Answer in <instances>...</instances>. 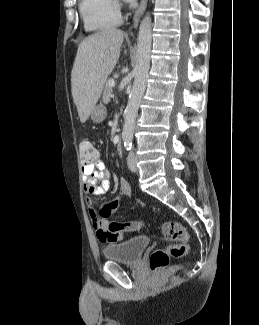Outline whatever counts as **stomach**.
<instances>
[{
	"instance_id": "1",
	"label": "stomach",
	"mask_w": 259,
	"mask_h": 325,
	"mask_svg": "<svg viewBox=\"0 0 259 325\" xmlns=\"http://www.w3.org/2000/svg\"><path fill=\"white\" fill-rule=\"evenodd\" d=\"M106 117V108L103 104L95 105L91 112V119L94 123L102 122Z\"/></svg>"
}]
</instances>
